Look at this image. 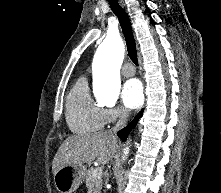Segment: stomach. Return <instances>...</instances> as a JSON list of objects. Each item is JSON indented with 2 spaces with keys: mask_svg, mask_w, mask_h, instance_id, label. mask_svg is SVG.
<instances>
[{
  "mask_svg": "<svg viewBox=\"0 0 221 193\" xmlns=\"http://www.w3.org/2000/svg\"><path fill=\"white\" fill-rule=\"evenodd\" d=\"M86 175L84 165H66L54 173V184L59 193H73Z\"/></svg>",
  "mask_w": 221,
  "mask_h": 193,
  "instance_id": "stomach-1",
  "label": "stomach"
}]
</instances>
